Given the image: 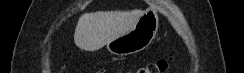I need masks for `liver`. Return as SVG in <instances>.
Listing matches in <instances>:
<instances>
[{"instance_id":"obj_1","label":"liver","mask_w":244,"mask_h":73,"mask_svg":"<svg viewBox=\"0 0 244 73\" xmlns=\"http://www.w3.org/2000/svg\"><path fill=\"white\" fill-rule=\"evenodd\" d=\"M144 11H98L80 16L74 42L82 50L96 51L129 31Z\"/></svg>"}]
</instances>
